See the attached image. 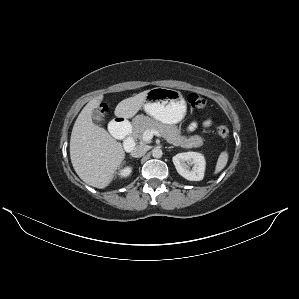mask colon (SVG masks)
<instances>
[{
	"label": "colon",
	"instance_id": "colon-1",
	"mask_svg": "<svg viewBox=\"0 0 299 299\" xmlns=\"http://www.w3.org/2000/svg\"><path fill=\"white\" fill-rule=\"evenodd\" d=\"M187 102L192 109H196V110L204 109L206 107V103H207L206 99L197 93H190L187 96ZM105 111L106 110L104 108H102L100 110V114L103 115L105 113ZM229 132H230L229 128L226 125H220L217 128V133L222 138L227 137L229 135Z\"/></svg>",
	"mask_w": 299,
	"mask_h": 299
}]
</instances>
